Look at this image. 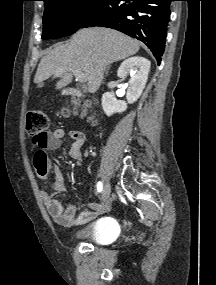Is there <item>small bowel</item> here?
<instances>
[{
  "instance_id": "small-bowel-1",
  "label": "small bowel",
  "mask_w": 216,
  "mask_h": 285,
  "mask_svg": "<svg viewBox=\"0 0 216 285\" xmlns=\"http://www.w3.org/2000/svg\"><path fill=\"white\" fill-rule=\"evenodd\" d=\"M66 137L71 139V144L68 148V155L77 164H81L83 160L82 146L85 142V134L80 130L56 129L48 133V142L45 148L39 150L34 157V165L38 176L41 179H46L51 167V162L45 150H56L60 148L62 140ZM55 182L50 192L43 193V201L48 210L49 215L58 224L65 227L85 224L96 215L106 210L105 205L91 203L89 209L82 211L78 216H75L76 208L74 205H64L56 196L65 191V177L62 170L58 166H54Z\"/></svg>"
}]
</instances>
